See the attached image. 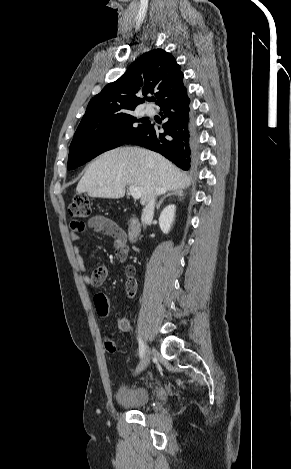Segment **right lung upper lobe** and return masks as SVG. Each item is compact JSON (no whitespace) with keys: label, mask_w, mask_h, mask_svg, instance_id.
Returning a JSON list of instances; mask_svg holds the SVG:
<instances>
[{"label":"right lung upper lobe","mask_w":291,"mask_h":469,"mask_svg":"<svg viewBox=\"0 0 291 469\" xmlns=\"http://www.w3.org/2000/svg\"><path fill=\"white\" fill-rule=\"evenodd\" d=\"M183 87V73L175 58L162 49H154L140 56L125 74L94 96L81 121L132 112L144 102L141 96L148 93H155L159 104Z\"/></svg>","instance_id":"1"}]
</instances>
